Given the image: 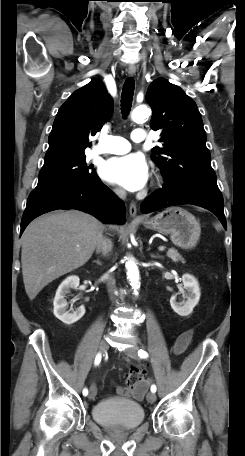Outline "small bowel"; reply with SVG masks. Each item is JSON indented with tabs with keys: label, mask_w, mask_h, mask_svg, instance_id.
<instances>
[{
	"label": "small bowel",
	"mask_w": 245,
	"mask_h": 456,
	"mask_svg": "<svg viewBox=\"0 0 245 456\" xmlns=\"http://www.w3.org/2000/svg\"><path fill=\"white\" fill-rule=\"evenodd\" d=\"M192 336H193V333L191 330H186V331L182 332L174 343V346H173L174 353L178 354V355L184 353L192 341ZM149 384H150V381L145 380V381L141 382L138 386H136L134 389L130 390V389H125V388L118 386L116 388V391L120 395L133 396L137 399H141L144 396V393L147 390Z\"/></svg>",
	"instance_id": "1"
}]
</instances>
